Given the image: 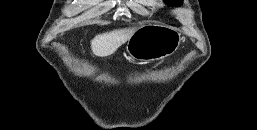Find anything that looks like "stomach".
<instances>
[{
  "mask_svg": "<svg viewBox=\"0 0 257 130\" xmlns=\"http://www.w3.org/2000/svg\"><path fill=\"white\" fill-rule=\"evenodd\" d=\"M182 42L181 34L165 24L150 22L137 28L127 41L130 57L149 63L174 54Z\"/></svg>",
  "mask_w": 257,
  "mask_h": 130,
  "instance_id": "0dacf381",
  "label": "stomach"
}]
</instances>
